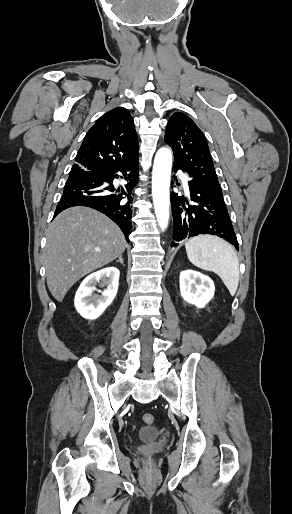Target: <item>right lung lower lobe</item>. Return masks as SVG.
I'll return each mask as SVG.
<instances>
[{"label":"right lung lower lobe","mask_w":292,"mask_h":514,"mask_svg":"<svg viewBox=\"0 0 292 514\" xmlns=\"http://www.w3.org/2000/svg\"><path fill=\"white\" fill-rule=\"evenodd\" d=\"M120 173L124 176H120ZM119 177H124L128 183L117 189L112 182ZM137 182L138 158L108 171L70 172L54 217L69 207H91L112 219L129 242L128 235L132 228L131 194Z\"/></svg>","instance_id":"98d812e1"}]
</instances>
